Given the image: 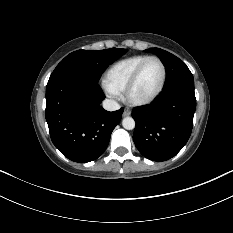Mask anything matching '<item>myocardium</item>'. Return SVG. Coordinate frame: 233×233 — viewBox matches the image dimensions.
Segmentation results:
<instances>
[{"label":"myocardium","mask_w":233,"mask_h":233,"mask_svg":"<svg viewBox=\"0 0 233 233\" xmlns=\"http://www.w3.org/2000/svg\"><path fill=\"white\" fill-rule=\"evenodd\" d=\"M151 60L158 61L162 67L161 84H160L159 88L156 90V92L153 95H151L150 97L143 99V100H135L131 97V92H132L135 84L137 83L145 65ZM166 81H167V67H166L164 61L157 56H149L139 64V66L136 68V70L133 72L132 76L130 77V79L125 87V90H124V99L131 106H136V107L146 106V105L152 103L153 101H155L160 96V94L163 92V90L165 88Z\"/></svg>","instance_id":"obj_1"}]
</instances>
